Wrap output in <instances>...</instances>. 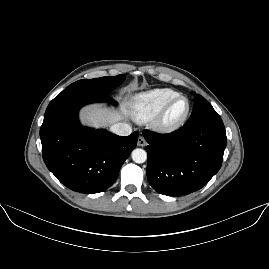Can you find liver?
Returning a JSON list of instances; mask_svg holds the SVG:
<instances>
[{"instance_id": "1", "label": "liver", "mask_w": 269, "mask_h": 269, "mask_svg": "<svg viewBox=\"0 0 269 269\" xmlns=\"http://www.w3.org/2000/svg\"><path fill=\"white\" fill-rule=\"evenodd\" d=\"M129 103L124 101L120 104L121 113L102 109L100 105H92L82 110L80 117L83 124H89L94 127H106L115 124L128 115Z\"/></svg>"}]
</instances>
